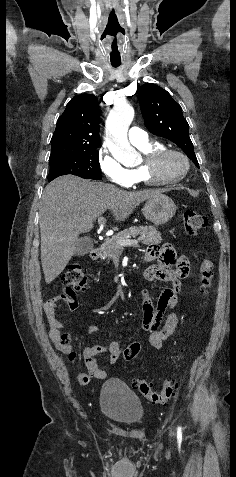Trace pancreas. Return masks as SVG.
I'll return each instance as SVG.
<instances>
[{
    "label": "pancreas",
    "mask_w": 236,
    "mask_h": 477,
    "mask_svg": "<svg viewBox=\"0 0 236 477\" xmlns=\"http://www.w3.org/2000/svg\"><path fill=\"white\" fill-rule=\"evenodd\" d=\"M138 240L143 244H159L162 241L161 233L153 227L147 226H132L129 229H125L118 232L111 238H107L101 247V258L111 259L118 256L122 252V247L118 245L117 241L122 239L138 237Z\"/></svg>",
    "instance_id": "pancreas-1"
}]
</instances>
